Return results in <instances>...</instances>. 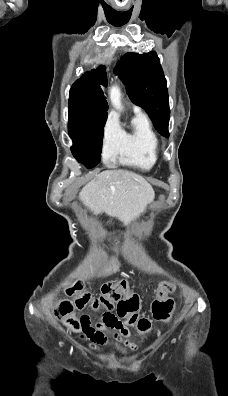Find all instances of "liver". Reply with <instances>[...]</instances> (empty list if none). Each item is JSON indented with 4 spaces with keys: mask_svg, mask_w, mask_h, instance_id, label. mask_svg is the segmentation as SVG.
Listing matches in <instances>:
<instances>
[{
    "mask_svg": "<svg viewBox=\"0 0 228 396\" xmlns=\"http://www.w3.org/2000/svg\"><path fill=\"white\" fill-rule=\"evenodd\" d=\"M154 197L152 186L143 177L124 170L101 172L79 194L95 215L105 212L123 220L139 217Z\"/></svg>",
    "mask_w": 228,
    "mask_h": 396,
    "instance_id": "liver-1",
    "label": "liver"
}]
</instances>
